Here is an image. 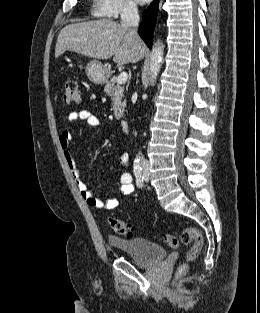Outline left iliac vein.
<instances>
[{
	"label": "left iliac vein",
	"mask_w": 260,
	"mask_h": 313,
	"mask_svg": "<svg viewBox=\"0 0 260 313\" xmlns=\"http://www.w3.org/2000/svg\"><path fill=\"white\" fill-rule=\"evenodd\" d=\"M143 175H144L145 181L148 182L149 181V172H148L147 169L144 170V174Z\"/></svg>",
	"instance_id": "4c4485c4"
}]
</instances>
